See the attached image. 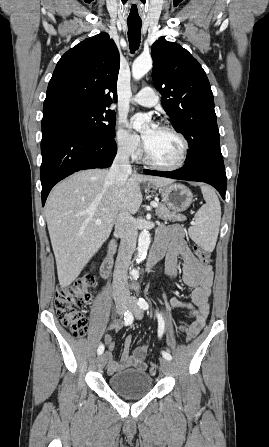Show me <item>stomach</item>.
I'll use <instances>...</instances> for the list:
<instances>
[{"mask_svg":"<svg viewBox=\"0 0 269 447\" xmlns=\"http://www.w3.org/2000/svg\"><path fill=\"white\" fill-rule=\"evenodd\" d=\"M161 194V198L173 212H184L192 204L193 194L186 186L180 184H169V186H162V188H154Z\"/></svg>","mask_w":269,"mask_h":447,"instance_id":"1","label":"stomach"}]
</instances>
